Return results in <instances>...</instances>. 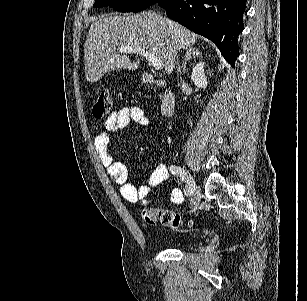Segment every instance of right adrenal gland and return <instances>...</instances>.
<instances>
[{"instance_id":"2a0ac1e0","label":"right adrenal gland","mask_w":307,"mask_h":301,"mask_svg":"<svg viewBox=\"0 0 307 301\" xmlns=\"http://www.w3.org/2000/svg\"><path fill=\"white\" fill-rule=\"evenodd\" d=\"M199 54H200L199 48H196V50H194V48H188V50H186L185 58L183 60L182 66H181L182 72H186V70H187L186 64H187L188 60H191V58H195V56H199Z\"/></svg>"}]
</instances>
